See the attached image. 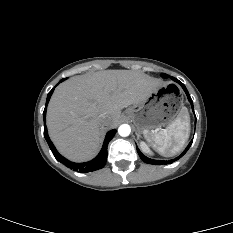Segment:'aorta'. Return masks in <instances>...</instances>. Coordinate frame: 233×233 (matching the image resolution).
<instances>
[{
  "label": "aorta",
  "instance_id": "762f6f07",
  "mask_svg": "<svg viewBox=\"0 0 233 233\" xmlns=\"http://www.w3.org/2000/svg\"><path fill=\"white\" fill-rule=\"evenodd\" d=\"M131 132V128L128 124H122L119 128H118V133L120 136L122 137H126L130 134Z\"/></svg>",
  "mask_w": 233,
  "mask_h": 233
}]
</instances>
